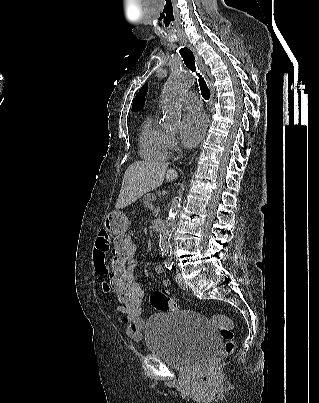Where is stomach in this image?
I'll use <instances>...</instances> for the list:
<instances>
[{"mask_svg": "<svg viewBox=\"0 0 319 403\" xmlns=\"http://www.w3.org/2000/svg\"><path fill=\"white\" fill-rule=\"evenodd\" d=\"M127 212L113 211L109 213L104 221L106 231L111 234H125L129 227Z\"/></svg>", "mask_w": 319, "mask_h": 403, "instance_id": "0dacf381", "label": "stomach"}]
</instances>
